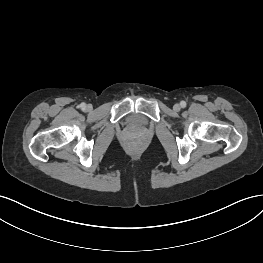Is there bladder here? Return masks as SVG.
<instances>
[{
    "label": "bladder",
    "instance_id": "bladder-1",
    "mask_svg": "<svg viewBox=\"0 0 263 263\" xmlns=\"http://www.w3.org/2000/svg\"><path fill=\"white\" fill-rule=\"evenodd\" d=\"M128 124L132 126H143L146 121L140 115H132L128 118Z\"/></svg>",
    "mask_w": 263,
    "mask_h": 263
}]
</instances>
